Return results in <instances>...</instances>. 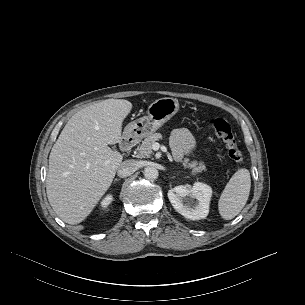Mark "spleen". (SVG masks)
<instances>
[{
	"mask_svg": "<svg viewBox=\"0 0 305 305\" xmlns=\"http://www.w3.org/2000/svg\"><path fill=\"white\" fill-rule=\"evenodd\" d=\"M251 188L249 170L241 168L237 170L227 183L218 201V209L221 217L231 220L237 216L245 206Z\"/></svg>",
	"mask_w": 305,
	"mask_h": 305,
	"instance_id": "spleen-1",
	"label": "spleen"
}]
</instances>
